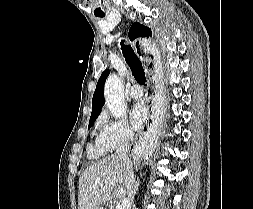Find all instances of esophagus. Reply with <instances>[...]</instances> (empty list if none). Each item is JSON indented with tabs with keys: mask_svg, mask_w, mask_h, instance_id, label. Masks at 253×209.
Here are the masks:
<instances>
[{
	"mask_svg": "<svg viewBox=\"0 0 253 209\" xmlns=\"http://www.w3.org/2000/svg\"><path fill=\"white\" fill-rule=\"evenodd\" d=\"M134 46L137 47L138 44L135 43ZM153 123H154V104L153 102H150L148 105V117H147L145 125L142 127L139 133V137L144 133L145 130L151 127Z\"/></svg>",
	"mask_w": 253,
	"mask_h": 209,
	"instance_id": "1",
	"label": "esophagus"
}]
</instances>
